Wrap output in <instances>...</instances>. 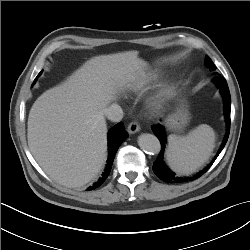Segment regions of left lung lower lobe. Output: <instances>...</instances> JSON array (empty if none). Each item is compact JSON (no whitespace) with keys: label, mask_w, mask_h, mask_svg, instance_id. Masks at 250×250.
Returning a JSON list of instances; mask_svg holds the SVG:
<instances>
[{"label":"left lung lower lobe","mask_w":250,"mask_h":250,"mask_svg":"<svg viewBox=\"0 0 250 250\" xmlns=\"http://www.w3.org/2000/svg\"><path fill=\"white\" fill-rule=\"evenodd\" d=\"M212 80L219 87L220 92H221L223 99H224V114H225V119H226V123H227V131H226L224 140L221 144V147H220L218 153L216 154L215 158L213 159V161L206 168H204L202 171H200L199 173H197L193 177H186V178L177 177L174 172H172L170 169H168L166 167V165L163 161L164 150H165L166 143H167L164 128L160 124L153 125L152 130H153L154 134L160 140L161 147H162L156 161L153 164V171L161 180H163L165 182H187V181H191V180L199 178L210 168V166L213 164L215 159L218 157V155L220 154V152L222 151V149L224 148V146L228 140L229 132H230V109H231V97H230L229 88H228V85H227L225 78H223V77L216 76Z\"/></svg>","instance_id":"obj_1"}]
</instances>
